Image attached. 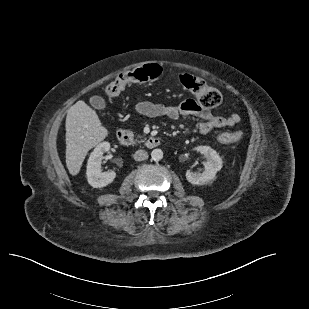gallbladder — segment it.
<instances>
[{
	"instance_id": "gallbladder-1",
	"label": "gallbladder",
	"mask_w": 309,
	"mask_h": 309,
	"mask_svg": "<svg viewBox=\"0 0 309 309\" xmlns=\"http://www.w3.org/2000/svg\"><path fill=\"white\" fill-rule=\"evenodd\" d=\"M90 104L96 109H104L106 106L104 99L100 96H92L90 98Z\"/></svg>"
}]
</instances>
